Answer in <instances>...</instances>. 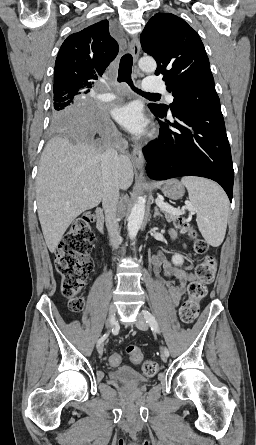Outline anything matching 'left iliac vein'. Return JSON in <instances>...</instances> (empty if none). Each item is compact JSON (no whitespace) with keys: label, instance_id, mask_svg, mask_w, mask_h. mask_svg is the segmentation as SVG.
<instances>
[{"label":"left iliac vein","instance_id":"left-iliac-vein-1","mask_svg":"<svg viewBox=\"0 0 256 445\" xmlns=\"http://www.w3.org/2000/svg\"><path fill=\"white\" fill-rule=\"evenodd\" d=\"M136 326H137L138 329H140L142 331H146L147 328H148L147 322L145 321L142 313L138 316V320L136 321ZM161 359L164 362H167L168 356L164 352H162L161 353Z\"/></svg>","mask_w":256,"mask_h":445}]
</instances>
